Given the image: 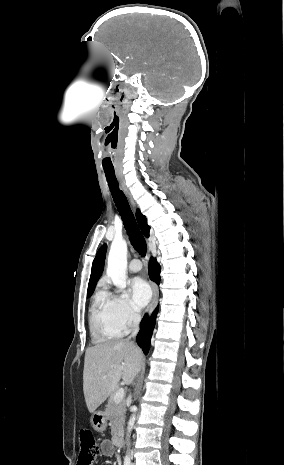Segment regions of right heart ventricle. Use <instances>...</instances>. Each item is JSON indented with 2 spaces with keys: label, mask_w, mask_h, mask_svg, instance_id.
<instances>
[{
  "label": "right heart ventricle",
  "mask_w": 284,
  "mask_h": 465,
  "mask_svg": "<svg viewBox=\"0 0 284 465\" xmlns=\"http://www.w3.org/2000/svg\"><path fill=\"white\" fill-rule=\"evenodd\" d=\"M89 328L92 341L98 345L119 339L125 329L116 321L108 302L98 296L90 309Z\"/></svg>",
  "instance_id": "right-heart-ventricle-1"
}]
</instances>
